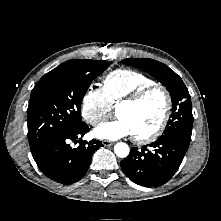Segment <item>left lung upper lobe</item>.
<instances>
[{
	"instance_id": "1",
	"label": "left lung upper lobe",
	"mask_w": 221,
	"mask_h": 221,
	"mask_svg": "<svg viewBox=\"0 0 221 221\" xmlns=\"http://www.w3.org/2000/svg\"><path fill=\"white\" fill-rule=\"evenodd\" d=\"M125 65L141 68L167 87L172 98V114L162 136L178 137L191 141L193 115L191 98L180 76L165 64L153 59L129 58Z\"/></svg>"
}]
</instances>
